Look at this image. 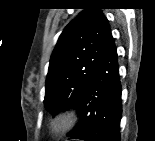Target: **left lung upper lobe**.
I'll use <instances>...</instances> for the list:
<instances>
[{"instance_id": "1", "label": "left lung upper lobe", "mask_w": 155, "mask_h": 141, "mask_svg": "<svg viewBox=\"0 0 155 141\" xmlns=\"http://www.w3.org/2000/svg\"><path fill=\"white\" fill-rule=\"evenodd\" d=\"M111 40L109 21L97 3H89L65 27L46 78L44 105L53 115L77 107Z\"/></svg>"}]
</instances>
